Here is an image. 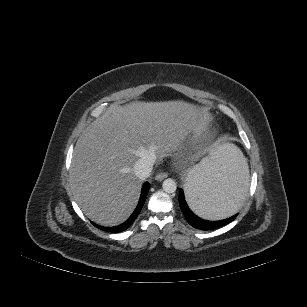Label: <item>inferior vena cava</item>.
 <instances>
[{
    "label": "inferior vena cava",
    "mask_w": 307,
    "mask_h": 307,
    "mask_svg": "<svg viewBox=\"0 0 307 307\" xmlns=\"http://www.w3.org/2000/svg\"><path fill=\"white\" fill-rule=\"evenodd\" d=\"M155 160L156 156L154 154H148L146 157L138 159L133 166L135 175L140 179L149 177Z\"/></svg>",
    "instance_id": "obj_1"
}]
</instances>
